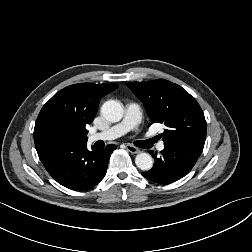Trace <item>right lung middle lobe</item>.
Segmentation results:
<instances>
[{
    "label": "right lung middle lobe",
    "instance_id": "right-lung-middle-lobe-1",
    "mask_svg": "<svg viewBox=\"0 0 252 252\" xmlns=\"http://www.w3.org/2000/svg\"><path fill=\"white\" fill-rule=\"evenodd\" d=\"M63 141H77V140L65 134H55L49 139L48 145L50 146V145L57 144Z\"/></svg>",
    "mask_w": 252,
    "mask_h": 252
}]
</instances>
